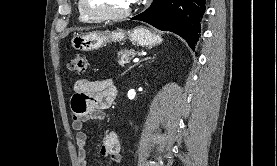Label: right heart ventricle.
<instances>
[{"instance_id": "1", "label": "right heart ventricle", "mask_w": 277, "mask_h": 166, "mask_svg": "<svg viewBox=\"0 0 277 166\" xmlns=\"http://www.w3.org/2000/svg\"><path fill=\"white\" fill-rule=\"evenodd\" d=\"M79 12H80V19H81L82 21H85V22H94V21H96V20H93V19H91L90 17L86 16V15L80 10V8H79Z\"/></svg>"}]
</instances>
